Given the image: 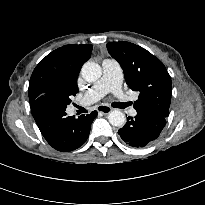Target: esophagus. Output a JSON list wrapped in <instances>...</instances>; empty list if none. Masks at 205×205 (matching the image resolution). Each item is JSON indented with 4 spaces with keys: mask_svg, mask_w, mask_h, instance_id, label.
Returning a JSON list of instances; mask_svg holds the SVG:
<instances>
[{
    "mask_svg": "<svg viewBox=\"0 0 205 205\" xmlns=\"http://www.w3.org/2000/svg\"><path fill=\"white\" fill-rule=\"evenodd\" d=\"M97 111L103 114H108L112 111V108L107 105H100L98 106Z\"/></svg>",
    "mask_w": 205,
    "mask_h": 205,
    "instance_id": "obj_1",
    "label": "esophagus"
}]
</instances>
